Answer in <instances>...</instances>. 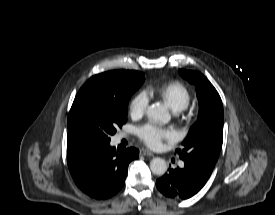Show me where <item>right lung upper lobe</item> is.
<instances>
[{"mask_svg":"<svg viewBox=\"0 0 275 215\" xmlns=\"http://www.w3.org/2000/svg\"><path fill=\"white\" fill-rule=\"evenodd\" d=\"M124 72H127L126 70H117V71H110L106 72V74L112 75L113 77H116L117 75L123 74ZM112 83H115V80L112 81Z\"/></svg>","mask_w":275,"mask_h":215,"instance_id":"right-lung-upper-lobe-1","label":"right lung upper lobe"}]
</instances>
